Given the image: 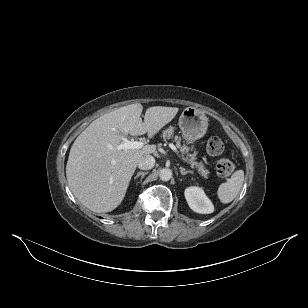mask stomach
Segmentation results:
<instances>
[{
    "label": "stomach",
    "instance_id": "stomach-1",
    "mask_svg": "<svg viewBox=\"0 0 308 308\" xmlns=\"http://www.w3.org/2000/svg\"><path fill=\"white\" fill-rule=\"evenodd\" d=\"M178 124L184 140L187 143H194L205 135L208 128V118L202 111L188 107L183 110Z\"/></svg>",
    "mask_w": 308,
    "mask_h": 308
}]
</instances>
